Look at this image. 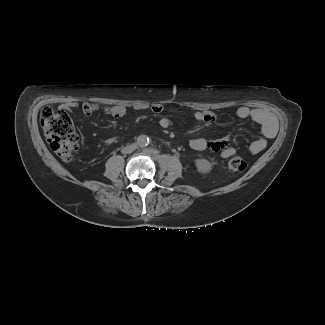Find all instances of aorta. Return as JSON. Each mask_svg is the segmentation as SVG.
<instances>
[{"instance_id": "obj_1", "label": "aorta", "mask_w": 325, "mask_h": 325, "mask_svg": "<svg viewBox=\"0 0 325 325\" xmlns=\"http://www.w3.org/2000/svg\"><path fill=\"white\" fill-rule=\"evenodd\" d=\"M150 140L149 137L147 135H139L137 138V146L140 148H145L149 145Z\"/></svg>"}]
</instances>
